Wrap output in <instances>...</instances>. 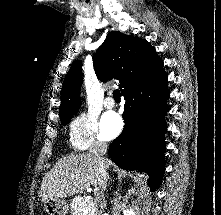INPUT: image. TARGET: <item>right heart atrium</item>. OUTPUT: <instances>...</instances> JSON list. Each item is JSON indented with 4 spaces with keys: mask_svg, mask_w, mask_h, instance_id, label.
<instances>
[{
    "mask_svg": "<svg viewBox=\"0 0 221 215\" xmlns=\"http://www.w3.org/2000/svg\"><path fill=\"white\" fill-rule=\"evenodd\" d=\"M70 142L76 150H87L104 143L97 117L90 112H81L71 121Z\"/></svg>",
    "mask_w": 221,
    "mask_h": 215,
    "instance_id": "d8ad5b80",
    "label": "right heart atrium"
}]
</instances>
